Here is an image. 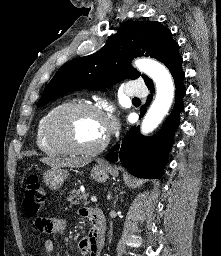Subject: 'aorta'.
<instances>
[{
    "label": "aorta",
    "mask_w": 221,
    "mask_h": 256,
    "mask_svg": "<svg viewBox=\"0 0 221 256\" xmlns=\"http://www.w3.org/2000/svg\"><path fill=\"white\" fill-rule=\"evenodd\" d=\"M135 66L148 75L156 85V97L141 124V133L148 134L162 122L168 113L174 98L175 88L171 74L162 64L143 59L136 61Z\"/></svg>",
    "instance_id": "1"
}]
</instances>
